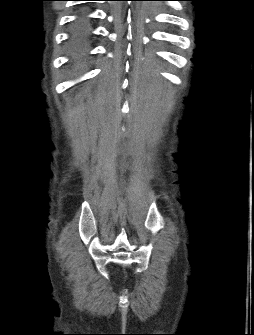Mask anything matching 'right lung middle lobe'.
Wrapping results in <instances>:
<instances>
[{"label": "right lung middle lobe", "instance_id": "dd1d6c3e", "mask_svg": "<svg viewBox=\"0 0 254 335\" xmlns=\"http://www.w3.org/2000/svg\"><path fill=\"white\" fill-rule=\"evenodd\" d=\"M89 31V26L85 23V21L82 19L78 22H75L73 25V34L75 36H82L87 34Z\"/></svg>", "mask_w": 254, "mask_h": 335}]
</instances>
